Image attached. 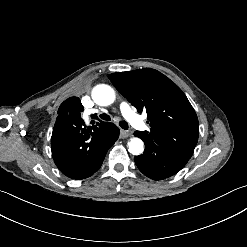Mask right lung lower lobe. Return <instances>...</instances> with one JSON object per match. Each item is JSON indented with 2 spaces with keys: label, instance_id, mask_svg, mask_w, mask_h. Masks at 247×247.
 <instances>
[{
  "label": "right lung lower lobe",
  "instance_id": "1",
  "mask_svg": "<svg viewBox=\"0 0 247 247\" xmlns=\"http://www.w3.org/2000/svg\"><path fill=\"white\" fill-rule=\"evenodd\" d=\"M108 133L99 138L89 137L79 128L53 134L51 148L58 169L72 179H85L101 167L109 148L119 137L118 127L111 123Z\"/></svg>",
  "mask_w": 247,
  "mask_h": 247
}]
</instances>
